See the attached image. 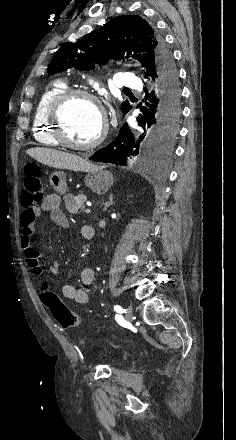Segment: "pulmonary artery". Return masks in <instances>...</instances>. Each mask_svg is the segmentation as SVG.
<instances>
[{
    "label": "pulmonary artery",
    "instance_id": "1",
    "mask_svg": "<svg viewBox=\"0 0 236 440\" xmlns=\"http://www.w3.org/2000/svg\"><path fill=\"white\" fill-rule=\"evenodd\" d=\"M115 86L120 88L138 89V79L132 73H119L114 77Z\"/></svg>",
    "mask_w": 236,
    "mask_h": 440
}]
</instances>
